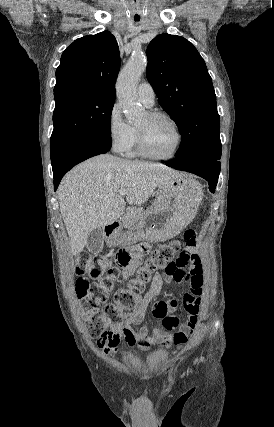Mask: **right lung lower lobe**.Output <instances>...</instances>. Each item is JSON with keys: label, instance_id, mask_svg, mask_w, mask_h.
Returning <instances> with one entry per match:
<instances>
[{"label": "right lung lower lobe", "instance_id": "obj_1", "mask_svg": "<svg viewBox=\"0 0 274 427\" xmlns=\"http://www.w3.org/2000/svg\"><path fill=\"white\" fill-rule=\"evenodd\" d=\"M111 148V140L89 139L66 151L52 163L54 190L57 189L62 177L76 164L95 155L106 153Z\"/></svg>", "mask_w": 274, "mask_h": 427}]
</instances>
